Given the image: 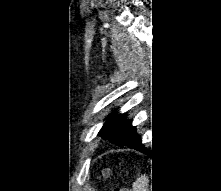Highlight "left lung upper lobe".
I'll list each match as a JSON object with an SVG mask.
<instances>
[{"label": "left lung upper lobe", "instance_id": "1", "mask_svg": "<svg viewBox=\"0 0 221 191\" xmlns=\"http://www.w3.org/2000/svg\"><path fill=\"white\" fill-rule=\"evenodd\" d=\"M99 134L116 144L126 145L137 150L144 148L141 136L136 133V128L131 125V120L125 119L124 114H109Z\"/></svg>", "mask_w": 221, "mask_h": 191}]
</instances>
